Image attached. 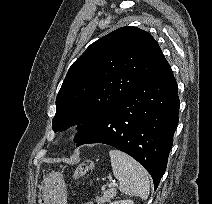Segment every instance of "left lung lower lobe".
<instances>
[{"label": "left lung lower lobe", "instance_id": "1", "mask_svg": "<svg viewBox=\"0 0 212 204\" xmlns=\"http://www.w3.org/2000/svg\"><path fill=\"white\" fill-rule=\"evenodd\" d=\"M164 60L130 94L111 107L77 143H103L133 157L151 174L154 188L165 173L178 125L179 98Z\"/></svg>", "mask_w": 212, "mask_h": 204}]
</instances>
